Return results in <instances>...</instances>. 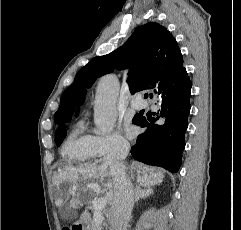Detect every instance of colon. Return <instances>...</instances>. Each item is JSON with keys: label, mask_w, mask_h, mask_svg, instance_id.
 <instances>
[{"label": "colon", "mask_w": 241, "mask_h": 230, "mask_svg": "<svg viewBox=\"0 0 241 230\" xmlns=\"http://www.w3.org/2000/svg\"><path fill=\"white\" fill-rule=\"evenodd\" d=\"M63 230H71L70 228H68V227H66V228H64Z\"/></svg>", "instance_id": "1"}]
</instances>
